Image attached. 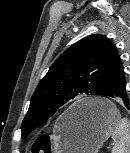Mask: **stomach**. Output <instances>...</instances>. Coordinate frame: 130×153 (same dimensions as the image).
<instances>
[{"instance_id": "1", "label": "stomach", "mask_w": 130, "mask_h": 153, "mask_svg": "<svg viewBox=\"0 0 130 153\" xmlns=\"http://www.w3.org/2000/svg\"><path fill=\"white\" fill-rule=\"evenodd\" d=\"M82 108L85 111L78 112ZM120 119L118 110L107 99L77 102L62 114L55 126L56 150L58 153H97Z\"/></svg>"}]
</instances>
